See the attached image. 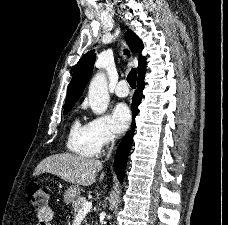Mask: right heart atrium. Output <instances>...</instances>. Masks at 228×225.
I'll return each mask as SVG.
<instances>
[{
	"label": "right heart atrium",
	"mask_w": 228,
	"mask_h": 225,
	"mask_svg": "<svg viewBox=\"0 0 228 225\" xmlns=\"http://www.w3.org/2000/svg\"><path fill=\"white\" fill-rule=\"evenodd\" d=\"M87 128L95 143L100 148L110 145L117 137V134L107 115L92 117L87 123Z\"/></svg>",
	"instance_id": "d8ad5b80"
}]
</instances>
